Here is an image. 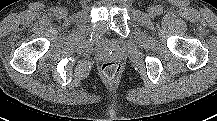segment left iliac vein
<instances>
[{
  "mask_svg": "<svg viewBox=\"0 0 217 121\" xmlns=\"http://www.w3.org/2000/svg\"><path fill=\"white\" fill-rule=\"evenodd\" d=\"M155 12H156V9L154 7H150L148 9V13L150 16H154L155 15Z\"/></svg>",
  "mask_w": 217,
  "mask_h": 121,
  "instance_id": "obj_1",
  "label": "left iliac vein"
}]
</instances>
